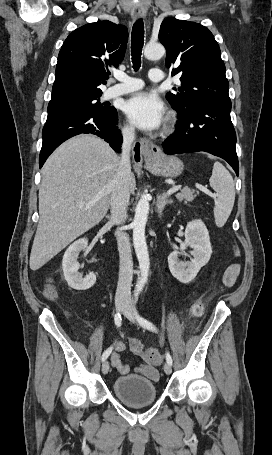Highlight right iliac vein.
Masks as SVG:
<instances>
[{
    "label": "right iliac vein",
    "mask_w": 272,
    "mask_h": 455,
    "mask_svg": "<svg viewBox=\"0 0 272 455\" xmlns=\"http://www.w3.org/2000/svg\"><path fill=\"white\" fill-rule=\"evenodd\" d=\"M126 301L123 298H118L115 301V307L117 312H121L123 308L125 307ZM109 371V362L105 360L102 364V372L103 374H107Z\"/></svg>",
    "instance_id": "1"
}]
</instances>
